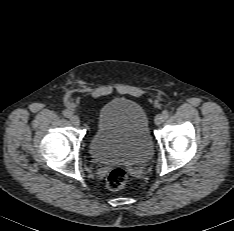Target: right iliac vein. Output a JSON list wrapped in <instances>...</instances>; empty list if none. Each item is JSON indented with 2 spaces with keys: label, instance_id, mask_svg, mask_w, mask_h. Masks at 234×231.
<instances>
[{
  "label": "right iliac vein",
  "instance_id": "63e3f726",
  "mask_svg": "<svg viewBox=\"0 0 234 231\" xmlns=\"http://www.w3.org/2000/svg\"><path fill=\"white\" fill-rule=\"evenodd\" d=\"M69 119H70V121H71V123L73 125H75V126H79L80 125V120H79V118L76 115H71L69 117Z\"/></svg>",
  "mask_w": 234,
  "mask_h": 231
}]
</instances>
